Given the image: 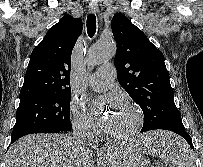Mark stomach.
I'll return each instance as SVG.
<instances>
[{
  "instance_id": "0dacf381",
  "label": "stomach",
  "mask_w": 203,
  "mask_h": 167,
  "mask_svg": "<svg viewBox=\"0 0 203 167\" xmlns=\"http://www.w3.org/2000/svg\"><path fill=\"white\" fill-rule=\"evenodd\" d=\"M146 138L138 140L140 147L118 148L112 156V167H150L149 162L140 154Z\"/></svg>"
}]
</instances>
